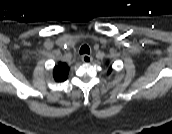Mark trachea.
<instances>
[{
    "label": "trachea",
    "instance_id": "1",
    "mask_svg": "<svg viewBox=\"0 0 172 134\" xmlns=\"http://www.w3.org/2000/svg\"><path fill=\"white\" fill-rule=\"evenodd\" d=\"M80 54H90V49L87 45H83L80 48Z\"/></svg>",
    "mask_w": 172,
    "mask_h": 134
}]
</instances>
